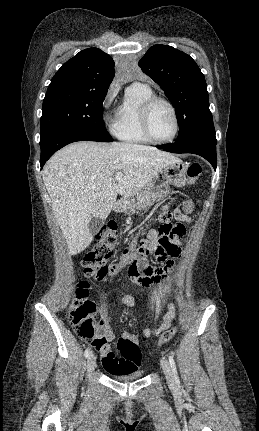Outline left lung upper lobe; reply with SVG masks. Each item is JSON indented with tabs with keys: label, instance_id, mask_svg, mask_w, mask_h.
<instances>
[{
	"label": "left lung upper lobe",
	"instance_id": "left-lung-upper-lobe-1",
	"mask_svg": "<svg viewBox=\"0 0 259 431\" xmlns=\"http://www.w3.org/2000/svg\"><path fill=\"white\" fill-rule=\"evenodd\" d=\"M139 67L161 86L179 123L177 141L197 137L216 140L203 73L184 52L168 45L152 46Z\"/></svg>",
	"mask_w": 259,
	"mask_h": 431
}]
</instances>
